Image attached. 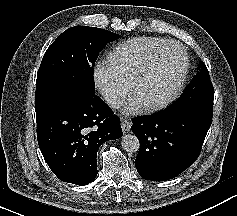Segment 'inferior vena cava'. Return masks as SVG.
I'll use <instances>...</instances> for the list:
<instances>
[{
	"label": "inferior vena cava",
	"instance_id": "obj_1",
	"mask_svg": "<svg viewBox=\"0 0 237 216\" xmlns=\"http://www.w3.org/2000/svg\"><path fill=\"white\" fill-rule=\"evenodd\" d=\"M103 101L114 109H120L125 104V96L122 93L109 89L100 91Z\"/></svg>",
	"mask_w": 237,
	"mask_h": 216
}]
</instances>
